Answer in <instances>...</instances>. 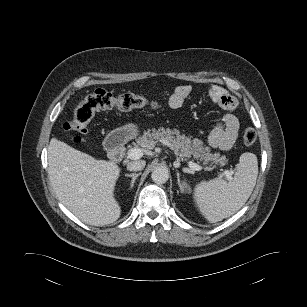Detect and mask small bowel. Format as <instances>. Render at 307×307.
<instances>
[{
  "label": "small bowel",
  "mask_w": 307,
  "mask_h": 307,
  "mask_svg": "<svg viewBox=\"0 0 307 307\" xmlns=\"http://www.w3.org/2000/svg\"><path fill=\"white\" fill-rule=\"evenodd\" d=\"M192 87L188 84L177 86L168 100L171 109L180 108L186 98L190 95ZM210 98L219 106L225 109H232L234 99L223 88L211 85L208 88ZM239 131V121L232 113H226L221 121L214 127L208 137V143L212 148L229 150L233 147Z\"/></svg>",
  "instance_id": "obj_1"
}]
</instances>
